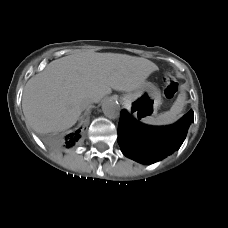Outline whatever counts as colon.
<instances>
[{
    "instance_id": "colon-1",
    "label": "colon",
    "mask_w": 228,
    "mask_h": 228,
    "mask_svg": "<svg viewBox=\"0 0 228 228\" xmlns=\"http://www.w3.org/2000/svg\"><path fill=\"white\" fill-rule=\"evenodd\" d=\"M164 94L168 99H172L176 96L177 92H178V84L175 81L174 77L167 73L164 76Z\"/></svg>"
}]
</instances>
